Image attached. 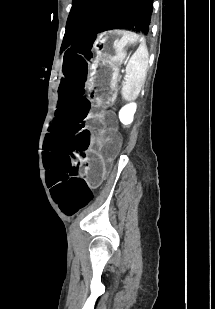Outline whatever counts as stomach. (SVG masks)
<instances>
[{
	"label": "stomach",
	"instance_id": "1",
	"mask_svg": "<svg viewBox=\"0 0 215 309\" xmlns=\"http://www.w3.org/2000/svg\"><path fill=\"white\" fill-rule=\"evenodd\" d=\"M142 44L143 40L135 32L114 29L100 34L94 44L96 57L88 73L87 86L93 100H109L115 94L119 66L127 56V52Z\"/></svg>",
	"mask_w": 215,
	"mask_h": 309
}]
</instances>
